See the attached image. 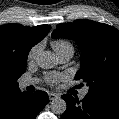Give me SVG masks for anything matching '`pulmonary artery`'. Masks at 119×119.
Returning <instances> with one entry per match:
<instances>
[{"label":"pulmonary artery","mask_w":119,"mask_h":119,"mask_svg":"<svg viewBox=\"0 0 119 119\" xmlns=\"http://www.w3.org/2000/svg\"><path fill=\"white\" fill-rule=\"evenodd\" d=\"M72 56H73L72 50H67V51H64V52L58 54L60 61L64 62V63L69 61ZM36 82H37V80L34 78H26L20 82V85H21V87H27L30 85H34ZM86 94H87V90H83L80 94V98L83 99L86 96Z\"/></svg>","instance_id":"obj_1"}]
</instances>
